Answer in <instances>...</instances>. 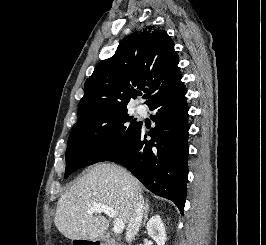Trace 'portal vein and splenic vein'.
<instances>
[{
    "label": "portal vein and splenic vein",
    "mask_w": 266,
    "mask_h": 245,
    "mask_svg": "<svg viewBox=\"0 0 266 245\" xmlns=\"http://www.w3.org/2000/svg\"><path fill=\"white\" fill-rule=\"evenodd\" d=\"M88 213H105V215H107V217H110V219H115L114 209H112V207H108V205H102V203H93ZM113 229L116 235H119V233H122L124 229L123 221H120V219H116Z\"/></svg>",
    "instance_id": "1"
}]
</instances>
